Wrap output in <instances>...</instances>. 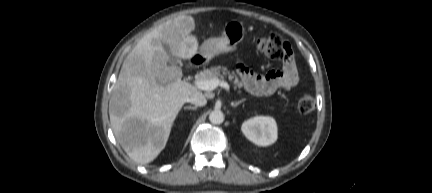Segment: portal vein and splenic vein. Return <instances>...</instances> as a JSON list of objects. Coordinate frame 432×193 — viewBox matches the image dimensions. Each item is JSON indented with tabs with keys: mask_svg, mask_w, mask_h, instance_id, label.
Here are the masks:
<instances>
[{
	"mask_svg": "<svg viewBox=\"0 0 432 193\" xmlns=\"http://www.w3.org/2000/svg\"><path fill=\"white\" fill-rule=\"evenodd\" d=\"M196 86L201 89V90H205V91H212L215 88H217L218 86L224 88V89H229L230 86L227 82L225 81H221L218 78L216 79H210V80H197L195 81Z\"/></svg>",
	"mask_w": 432,
	"mask_h": 193,
	"instance_id": "18ae733b",
	"label": "portal vein and splenic vein"
}]
</instances>
